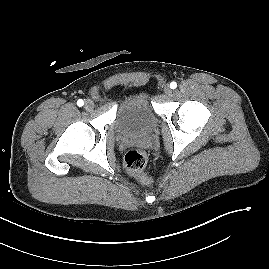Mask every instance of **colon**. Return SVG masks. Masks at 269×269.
<instances>
[{
	"label": "colon",
	"instance_id": "1",
	"mask_svg": "<svg viewBox=\"0 0 269 269\" xmlns=\"http://www.w3.org/2000/svg\"><path fill=\"white\" fill-rule=\"evenodd\" d=\"M147 161L148 156L146 152L139 149H131L125 154L124 166L130 174L141 177Z\"/></svg>",
	"mask_w": 269,
	"mask_h": 269
}]
</instances>
